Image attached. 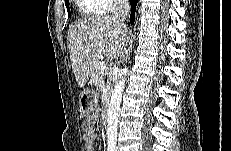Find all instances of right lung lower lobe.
<instances>
[{"label": "right lung lower lobe", "mask_w": 231, "mask_h": 151, "mask_svg": "<svg viewBox=\"0 0 231 151\" xmlns=\"http://www.w3.org/2000/svg\"><path fill=\"white\" fill-rule=\"evenodd\" d=\"M130 3H131V8H132L131 15H130V22L131 24H133L134 19H135V5L137 4V1L130 0Z\"/></svg>", "instance_id": "obj_1"}]
</instances>
